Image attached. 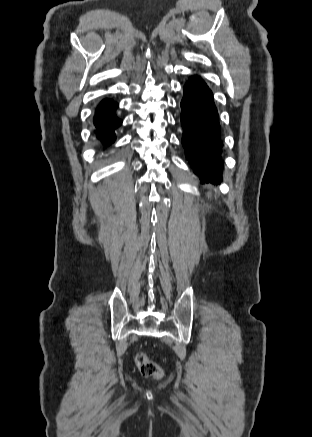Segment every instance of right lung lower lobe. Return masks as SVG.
Masks as SVG:
<instances>
[{
    "label": "right lung lower lobe",
    "mask_w": 312,
    "mask_h": 437,
    "mask_svg": "<svg viewBox=\"0 0 312 437\" xmlns=\"http://www.w3.org/2000/svg\"><path fill=\"white\" fill-rule=\"evenodd\" d=\"M118 104L111 99H104L96 109L94 124L96 133L103 143L108 146L115 140L114 130L122 121L115 115Z\"/></svg>",
    "instance_id": "obj_1"
}]
</instances>
